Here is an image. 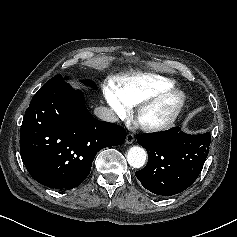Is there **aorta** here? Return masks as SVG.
<instances>
[{
    "instance_id": "1",
    "label": "aorta",
    "mask_w": 237,
    "mask_h": 237,
    "mask_svg": "<svg viewBox=\"0 0 237 237\" xmlns=\"http://www.w3.org/2000/svg\"><path fill=\"white\" fill-rule=\"evenodd\" d=\"M147 153L139 146L131 147L127 152V161L133 168H141L146 162Z\"/></svg>"
}]
</instances>
